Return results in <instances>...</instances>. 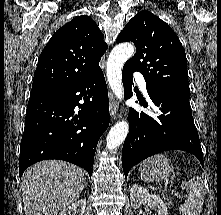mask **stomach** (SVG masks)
<instances>
[{
  "label": "stomach",
  "instance_id": "1",
  "mask_svg": "<svg viewBox=\"0 0 221 215\" xmlns=\"http://www.w3.org/2000/svg\"><path fill=\"white\" fill-rule=\"evenodd\" d=\"M141 178L145 181H166L172 172L168 159L163 155H156L144 161L139 168Z\"/></svg>",
  "mask_w": 221,
  "mask_h": 215
}]
</instances>
